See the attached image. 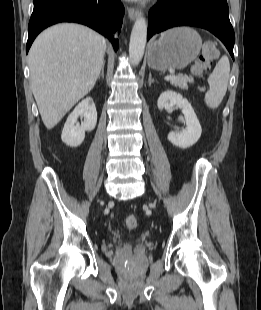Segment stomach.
Returning <instances> with one entry per match:
<instances>
[{"instance_id": "obj_1", "label": "stomach", "mask_w": 261, "mask_h": 310, "mask_svg": "<svg viewBox=\"0 0 261 310\" xmlns=\"http://www.w3.org/2000/svg\"><path fill=\"white\" fill-rule=\"evenodd\" d=\"M202 46L199 34L189 27L165 31L148 50V64L157 70L183 69L198 56Z\"/></svg>"}]
</instances>
